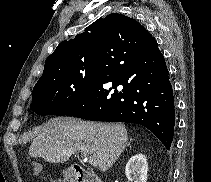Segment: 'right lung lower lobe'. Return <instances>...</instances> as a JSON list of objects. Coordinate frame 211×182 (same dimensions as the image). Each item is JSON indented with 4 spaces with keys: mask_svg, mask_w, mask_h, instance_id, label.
<instances>
[{
    "mask_svg": "<svg viewBox=\"0 0 211 182\" xmlns=\"http://www.w3.org/2000/svg\"><path fill=\"white\" fill-rule=\"evenodd\" d=\"M118 86L122 89L117 90ZM63 115L140 124L169 150L175 125L174 98L157 41L153 37L142 42L103 38L91 85Z\"/></svg>",
    "mask_w": 211,
    "mask_h": 182,
    "instance_id": "1",
    "label": "right lung lower lobe"
}]
</instances>
